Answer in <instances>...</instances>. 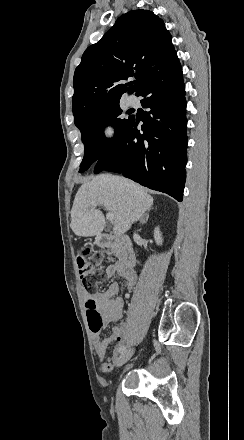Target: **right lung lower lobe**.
Segmentation results:
<instances>
[{
    "instance_id": "1",
    "label": "right lung lower lobe",
    "mask_w": 244,
    "mask_h": 440,
    "mask_svg": "<svg viewBox=\"0 0 244 440\" xmlns=\"http://www.w3.org/2000/svg\"><path fill=\"white\" fill-rule=\"evenodd\" d=\"M138 96L150 109L131 117L114 145L97 161L94 173H122L150 189L182 201L186 178V100L180 63L163 68L142 86ZM143 122L141 130L137 129Z\"/></svg>"
}]
</instances>
